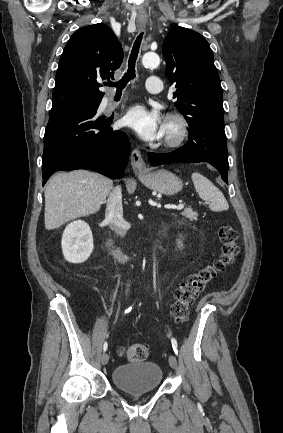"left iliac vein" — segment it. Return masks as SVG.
<instances>
[{
  "mask_svg": "<svg viewBox=\"0 0 283 433\" xmlns=\"http://www.w3.org/2000/svg\"><path fill=\"white\" fill-rule=\"evenodd\" d=\"M169 365L173 368L176 369L177 368V360L176 357L174 355H170L169 359H168Z\"/></svg>",
  "mask_w": 283,
  "mask_h": 433,
  "instance_id": "4c4485c4",
  "label": "left iliac vein"
}]
</instances>
